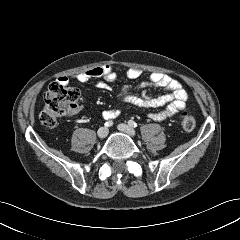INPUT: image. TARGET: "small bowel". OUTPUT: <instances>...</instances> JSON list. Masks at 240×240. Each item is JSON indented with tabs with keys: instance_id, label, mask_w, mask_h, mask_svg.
I'll use <instances>...</instances> for the list:
<instances>
[{
	"instance_id": "obj_1",
	"label": "small bowel",
	"mask_w": 240,
	"mask_h": 240,
	"mask_svg": "<svg viewBox=\"0 0 240 240\" xmlns=\"http://www.w3.org/2000/svg\"><path fill=\"white\" fill-rule=\"evenodd\" d=\"M140 74V71L136 68H130L126 71V76L130 79L138 78ZM72 79L80 83L96 80V85L99 88L108 90L111 88L110 85L117 80V73L109 65H100L71 77L61 76L56 80V83L66 86ZM148 88H161L167 92L152 97L147 94ZM139 89H142L143 93L141 96H136L132 93L131 87L124 86L118 91V97L124 103L154 110L149 114L154 120H166L185 108V102L188 97L187 92L178 80L167 74L160 72L151 73L149 81L141 84ZM118 114V110H107L103 113V116L106 119H113Z\"/></svg>"
}]
</instances>
